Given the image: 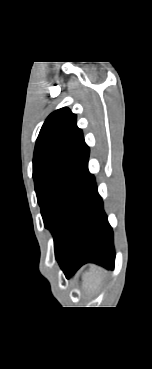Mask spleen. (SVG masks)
Returning a JSON list of instances; mask_svg holds the SVG:
<instances>
[{
	"label": "spleen",
	"instance_id": "1",
	"mask_svg": "<svg viewBox=\"0 0 152 369\" xmlns=\"http://www.w3.org/2000/svg\"><path fill=\"white\" fill-rule=\"evenodd\" d=\"M103 271L98 267H92L88 272L83 275V280L85 283L92 282L93 288L96 290L101 284V274Z\"/></svg>",
	"mask_w": 152,
	"mask_h": 369
}]
</instances>
